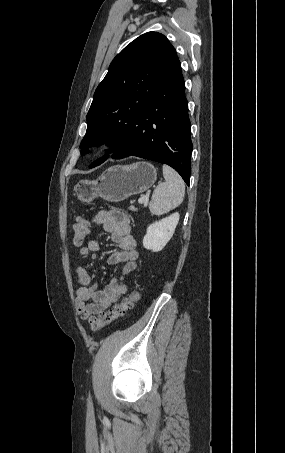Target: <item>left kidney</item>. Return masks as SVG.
Instances as JSON below:
<instances>
[{
	"label": "left kidney",
	"instance_id": "obj_1",
	"mask_svg": "<svg viewBox=\"0 0 285 453\" xmlns=\"http://www.w3.org/2000/svg\"><path fill=\"white\" fill-rule=\"evenodd\" d=\"M179 213H173L147 227L143 246L153 252L161 251L172 238L179 221Z\"/></svg>",
	"mask_w": 285,
	"mask_h": 453
}]
</instances>
